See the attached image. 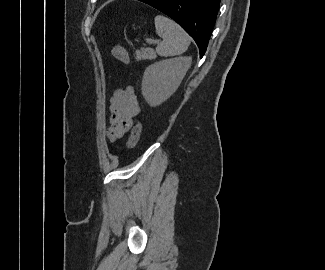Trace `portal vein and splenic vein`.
Listing matches in <instances>:
<instances>
[{
    "label": "portal vein and splenic vein",
    "mask_w": 325,
    "mask_h": 270,
    "mask_svg": "<svg viewBox=\"0 0 325 270\" xmlns=\"http://www.w3.org/2000/svg\"><path fill=\"white\" fill-rule=\"evenodd\" d=\"M146 42L148 43V44H157V43H159V41L158 40H151V39H147L146 40Z\"/></svg>",
    "instance_id": "1"
}]
</instances>
